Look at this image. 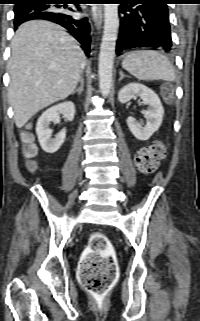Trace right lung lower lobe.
<instances>
[{
    "instance_id": "1",
    "label": "right lung lower lobe",
    "mask_w": 200,
    "mask_h": 321,
    "mask_svg": "<svg viewBox=\"0 0 200 321\" xmlns=\"http://www.w3.org/2000/svg\"><path fill=\"white\" fill-rule=\"evenodd\" d=\"M82 0H23L16 3L14 7V26L17 28L20 24L35 19L48 20L57 23L71 33L82 45L86 55L90 53V26L85 19H75L66 11L68 3L75 4L80 11L78 4Z\"/></svg>"
}]
</instances>
